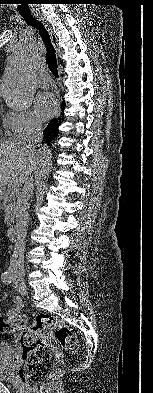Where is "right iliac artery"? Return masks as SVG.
<instances>
[{"mask_svg": "<svg viewBox=\"0 0 153 393\" xmlns=\"http://www.w3.org/2000/svg\"><path fill=\"white\" fill-rule=\"evenodd\" d=\"M1 280L3 283L9 284L12 282V276L9 272L6 271V272L2 273Z\"/></svg>", "mask_w": 153, "mask_h": 393, "instance_id": "1", "label": "right iliac artery"}]
</instances>
